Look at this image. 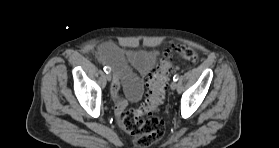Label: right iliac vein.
<instances>
[{
    "instance_id": "obj_1",
    "label": "right iliac vein",
    "mask_w": 279,
    "mask_h": 148,
    "mask_svg": "<svg viewBox=\"0 0 279 148\" xmlns=\"http://www.w3.org/2000/svg\"><path fill=\"white\" fill-rule=\"evenodd\" d=\"M106 79H107V81L110 82L112 80V75L110 73H107L106 74Z\"/></svg>"
}]
</instances>
